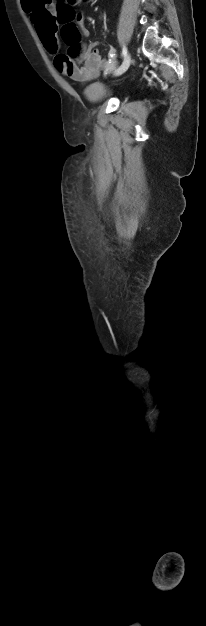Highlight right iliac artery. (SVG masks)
<instances>
[{"label": "right iliac artery", "mask_w": 206, "mask_h": 626, "mask_svg": "<svg viewBox=\"0 0 206 626\" xmlns=\"http://www.w3.org/2000/svg\"><path fill=\"white\" fill-rule=\"evenodd\" d=\"M122 56H123L124 58L127 56V49H126V47H125V46H124V47H123V49H122Z\"/></svg>", "instance_id": "obj_1"}]
</instances>
